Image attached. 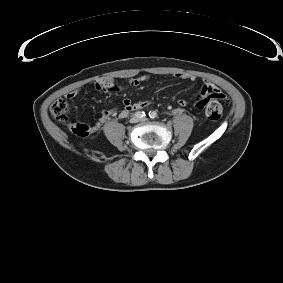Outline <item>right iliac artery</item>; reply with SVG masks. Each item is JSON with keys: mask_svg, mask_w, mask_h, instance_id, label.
<instances>
[{"mask_svg": "<svg viewBox=\"0 0 283 283\" xmlns=\"http://www.w3.org/2000/svg\"><path fill=\"white\" fill-rule=\"evenodd\" d=\"M135 116L137 117V118H143V117H145L146 115H145V113L142 111H138V112H136L135 113Z\"/></svg>", "mask_w": 283, "mask_h": 283, "instance_id": "right-iliac-artery-1", "label": "right iliac artery"}]
</instances>
